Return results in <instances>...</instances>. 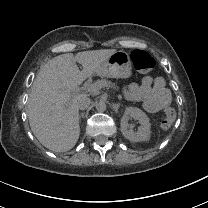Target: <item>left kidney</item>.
I'll list each match as a JSON object with an SVG mask.
<instances>
[{
	"label": "left kidney",
	"instance_id": "left-kidney-1",
	"mask_svg": "<svg viewBox=\"0 0 208 208\" xmlns=\"http://www.w3.org/2000/svg\"><path fill=\"white\" fill-rule=\"evenodd\" d=\"M132 118L139 124L137 131H134L132 129V124L129 123L130 119ZM121 132L129 141H148L150 134V123L148 122L147 116L138 108H126L121 118Z\"/></svg>",
	"mask_w": 208,
	"mask_h": 208
}]
</instances>
